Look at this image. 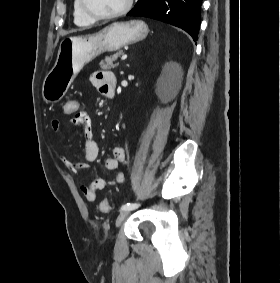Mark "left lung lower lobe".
<instances>
[{"mask_svg":"<svg viewBox=\"0 0 280 283\" xmlns=\"http://www.w3.org/2000/svg\"><path fill=\"white\" fill-rule=\"evenodd\" d=\"M202 0H138L128 16L149 17L185 30L198 40Z\"/></svg>","mask_w":280,"mask_h":283,"instance_id":"0a47b994","label":"left lung lower lobe"}]
</instances>
